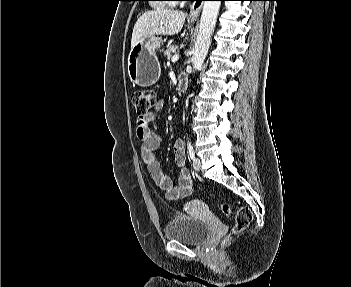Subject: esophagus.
Segmentation results:
<instances>
[{
    "instance_id": "34e87169",
    "label": "esophagus",
    "mask_w": 351,
    "mask_h": 287,
    "mask_svg": "<svg viewBox=\"0 0 351 287\" xmlns=\"http://www.w3.org/2000/svg\"><path fill=\"white\" fill-rule=\"evenodd\" d=\"M202 5H203V0H194L193 1V4L191 5L190 13H189L190 19L194 20V19L198 18L200 11H201V8H202Z\"/></svg>"
}]
</instances>
